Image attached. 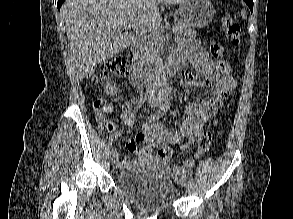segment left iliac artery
<instances>
[{
	"label": "left iliac artery",
	"mask_w": 293,
	"mask_h": 219,
	"mask_svg": "<svg viewBox=\"0 0 293 219\" xmlns=\"http://www.w3.org/2000/svg\"><path fill=\"white\" fill-rule=\"evenodd\" d=\"M168 93H169V95L173 96V90L172 89H169ZM185 167H186V169H188V174H189L190 178H192L193 173H192L191 168L188 165H185Z\"/></svg>",
	"instance_id": "left-iliac-artery-1"
}]
</instances>
